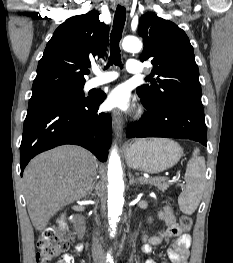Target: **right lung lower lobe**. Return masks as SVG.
Masks as SVG:
<instances>
[{"mask_svg": "<svg viewBox=\"0 0 233 263\" xmlns=\"http://www.w3.org/2000/svg\"><path fill=\"white\" fill-rule=\"evenodd\" d=\"M105 96L85 101L51 102L28 108L20 146L21 175L37 154L62 144H76L105 162L111 144V116L99 113Z\"/></svg>", "mask_w": 233, "mask_h": 263, "instance_id": "obj_1", "label": "right lung lower lobe"}]
</instances>
